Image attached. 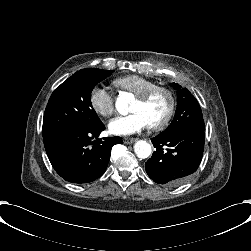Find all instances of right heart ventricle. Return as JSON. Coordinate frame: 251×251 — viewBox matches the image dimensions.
Here are the masks:
<instances>
[{
    "label": "right heart ventricle",
    "instance_id": "e07e8e85",
    "mask_svg": "<svg viewBox=\"0 0 251 251\" xmlns=\"http://www.w3.org/2000/svg\"><path fill=\"white\" fill-rule=\"evenodd\" d=\"M116 86L125 89L135 95H139L146 91L156 83L148 77L129 74L120 78H117L113 82Z\"/></svg>",
    "mask_w": 251,
    "mask_h": 251
}]
</instances>
